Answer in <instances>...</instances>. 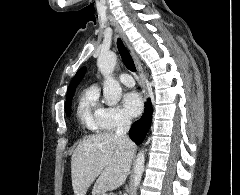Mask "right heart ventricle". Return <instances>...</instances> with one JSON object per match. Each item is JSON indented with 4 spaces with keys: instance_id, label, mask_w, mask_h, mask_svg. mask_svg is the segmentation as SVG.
Wrapping results in <instances>:
<instances>
[{
    "instance_id": "right-heart-ventricle-1",
    "label": "right heart ventricle",
    "mask_w": 240,
    "mask_h": 195,
    "mask_svg": "<svg viewBox=\"0 0 240 195\" xmlns=\"http://www.w3.org/2000/svg\"><path fill=\"white\" fill-rule=\"evenodd\" d=\"M77 116L80 124L93 136H102V131H110L104 119V107L99 101V92L96 86L88 88L82 95Z\"/></svg>"
}]
</instances>
